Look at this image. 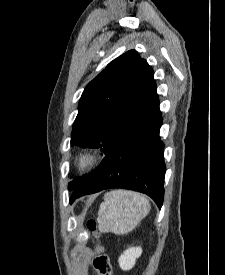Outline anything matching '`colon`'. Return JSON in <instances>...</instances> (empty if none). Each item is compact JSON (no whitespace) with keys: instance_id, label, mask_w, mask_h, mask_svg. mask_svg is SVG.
Wrapping results in <instances>:
<instances>
[{"instance_id":"1","label":"colon","mask_w":225,"mask_h":275,"mask_svg":"<svg viewBox=\"0 0 225 275\" xmlns=\"http://www.w3.org/2000/svg\"><path fill=\"white\" fill-rule=\"evenodd\" d=\"M87 229L95 238L100 237V232L96 221L89 220L86 224ZM97 255L93 260V267L98 275H112L113 269L109 257L104 253L101 245L97 246Z\"/></svg>"}]
</instances>
